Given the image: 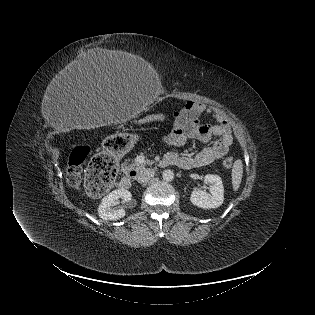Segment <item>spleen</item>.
<instances>
[{
  "label": "spleen",
  "mask_w": 315,
  "mask_h": 315,
  "mask_svg": "<svg viewBox=\"0 0 315 315\" xmlns=\"http://www.w3.org/2000/svg\"><path fill=\"white\" fill-rule=\"evenodd\" d=\"M243 174V164L240 159L236 160L232 168V186L233 190L236 192L241 184Z\"/></svg>",
  "instance_id": "obj_1"
}]
</instances>
